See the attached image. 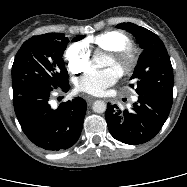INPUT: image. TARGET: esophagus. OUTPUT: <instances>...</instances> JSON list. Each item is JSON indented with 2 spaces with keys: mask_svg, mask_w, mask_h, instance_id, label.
Masks as SVG:
<instances>
[{
  "mask_svg": "<svg viewBox=\"0 0 187 187\" xmlns=\"http://www.w3.org/2000/svg\"><path fill=\"white\" fill-rule=\"evenodd\" d=\"M86 102L90 105L93 101H95V98L94 97H91V96H85L84 97Z\"/></svg>",
  "mask_w": 187,
  "mask_h": 187,
  "instance_id": "esophagus-1",
  "label": "esophagus"
}]
</instances>
